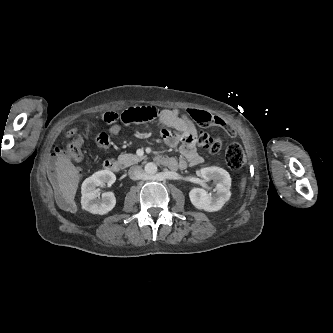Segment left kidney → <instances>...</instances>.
Instances as JSON below:
<instances>
[{"label":"left kidney","mask_w":333,"mask_h":333,"mask_svg":"<svg viewBox=\"0 0 333 333\" xmlns=\"http://www.w3.org/2000/svg\"><path fill=\"white\" fill-rule=\"evenodd\" d=\"M200 176L205 181L213 180L215 182L214 191L216 193H209L203 188H194L189 193L191 203L197 209L208 212L220 210L231 196V177L229 173L220 167L211 166L202 168Z\"/></svg>","instance_id":"obj_1"}]
</instances>
